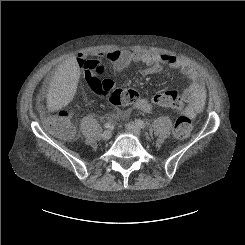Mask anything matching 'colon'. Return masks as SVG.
I'll list each match as a JSON object with an SVG mask.
<instances>
[{
	"label": "colon",
	"mask_w": 245,
	"mask_h": 245,
	"mask_svg": "<svg viewBox=\"0 0 245 245\" xmlns=\"http://www.w3.org/2000/svg\"><path fill=\"white\" fill-rule=\"evenodd\" d=\"M77 64L86 76L99 74L103 70L102 65L97 60L77 58ZM90 85L94 92L105 94L109 102L114 106L131 103L136 99V91L132 87L110 88L97 78H92ZM152 100L159 106L171 108L179 113L173 134L177 139L187 138L192 129V122L188 116L183 114L185 106L180 95L174 90L161 91L155 93L152 96ZM69 117V109L65 106L60 107L46 119V128L53 135L63 139H70L74 135V129L68 122Z\"/></svg>",
	"instance_id": "obj_1"
}]
</instances>
